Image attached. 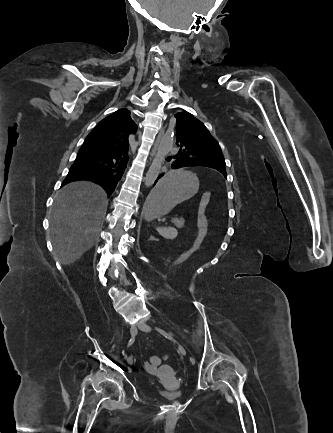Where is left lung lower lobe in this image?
<instances>
[{"instance_id": "1", "label": "left lung lower lobe", "mask_w": 333, "mask_h": 433, "mask_svg": "<svg viewBox=\"0 0 333 433\" xmlns=\"http://www.w3.org/2000/svg\"><path fill=\"white\" fill-rule=\"evenodd\" d=\"M173 169H177V163L176 162H174L173 164H172V166H171ZM163 176V174L162 175H160L158 178H160V177H162ZM156 182H157V180H156ZM155 182V183H156ZM156 200H155V198H153V197H148L147 199H146V202H145V205H144V212H145V215L147 216L149 213H151L152 211H153V209H154V207H155V202Z\"/></svg>"}]
</instances>
